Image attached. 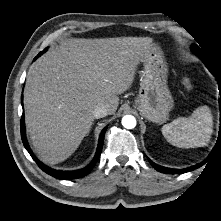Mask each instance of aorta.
<instances>
[{
	"label": "aorta",
	"mask_w": 221,
	"mask_h": 221,
	"mask_svg": "<svg viewBox=\"0 0 221 221\" xmlns=\"http://www.w3.org/2000/svg\"><path fill=\"white\" fill-rule=\"evenodd\" d=\"M122 125L126 129H133L136 126V119L132 115H125L122 118Z\"/></svg>",
	"instance_id": "obj_1"
}]
</instances>
